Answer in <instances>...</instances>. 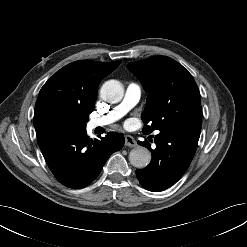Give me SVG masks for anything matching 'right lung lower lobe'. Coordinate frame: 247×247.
<instances>
[{
  "instance_id": "right-lung-lower-lobe-1",
  "label": "right lung lower lobe",
  "mask_w": 247,
  "mask_h": 247,
  "mask_svg": "<svg viewBox=\"0 0 247 247\" xmlns=\"http://www.w3.org/2000/svg\"><path fill=\"white\" fill-rule=\"evenodd\" d=\"M37 138L53 175L73 189L90 184L110 155L124 145L122 133L109 132L100 140H93L87 136L86 129L75 132L48 130L37 134Z\"/></svg>"
}]
</instances>
